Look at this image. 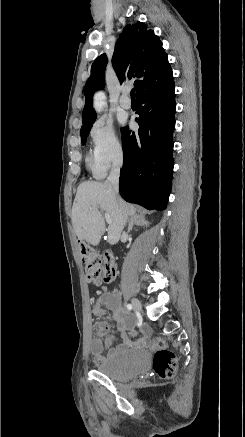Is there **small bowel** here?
<instances>
[{
	"instance_id": "c3829d8e",
	"label": "small bowel",
	"mask_w": 245,
	"mask_h": 437,
	"mask_svg": "<svg viewBox=\"0 0 245 437\" xmlns=\"http://www.w3.org/2000/svg\"><path fill=\"white\" fill-rule=\"evenodd\" d=\"M105 307L106 310L110 312V316L114 324L116 325L117 332L119 336L123 339L125 344H131L132 341L128 337V331L133 330L135 327V320L132 316L125 313L120 308V300L119 295L117 292H104L102 293L94 307H93V313L95 316H102L105 314ZM109 330L108 326L106 324H102L100 326V332L105 333ZM113 337L110 335L106 338V340L103 342L100 338L96 337L93 338L91 341V352L93 356L97 360H101L104 357V348L109 347L112 343Z\"/></svg>"
}]
</instances>
